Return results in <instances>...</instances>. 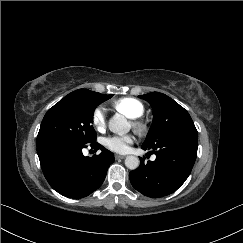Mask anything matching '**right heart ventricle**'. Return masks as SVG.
Masks as SVG:
<instances>
[{"label":"right heart ventricle","mask_w":243,"mask_h":243,"mask_svg":"<svg viewBox=\"0 0 243 243\" xmlns=\"http://www.w3.org/2000/svg\"><path fill=\"white\" fill-rule=\"evenodd\" d=\"M111 105L113 109L130 119H137L144 113L143 104L139 100L131 97L120 98L112 102Z\"/></svg>","instance_id":"1"}]
</instances>
